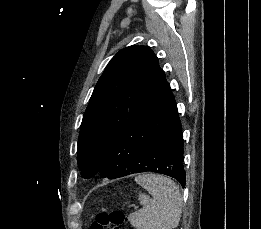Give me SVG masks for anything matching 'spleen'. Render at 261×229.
Here are the masks:
<instances>
[{
    "instance_id": "1",
    "label": "spleen",
    "mask_w": 261,
    "mask_h": 229,
    "mask_svg": "<svg viewBox=\"0 0 261 229\" xmlns=\"http://www.w3.org/2000/svg\"><path fill=\"white\" fill-rule=\"evenodd\" d=\"M138 185L148 195L140 193L138 201L143 209L132 213L129 221L135 229H176L182 213V199L178 185L163 175H138Z\"/></svg>"
}]
</instances>
